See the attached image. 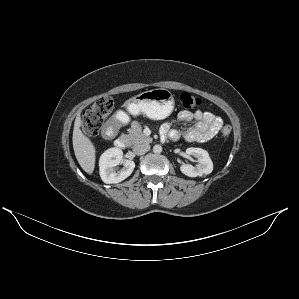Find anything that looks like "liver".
Listing matches in <instances>:
<instances>
[{
  "label": "liver",
  "mask_w": 299,
  "mask_h": 299,
  "mask_svg": "<svg viewBox=\"0 0 299 299\" xmlns=\"http://www.w3.org/2000/svg\"><path fill=\"white\" fill-rule=\"evenodd\" d=\"M82 124L80 114L77 115L73 129V149L76 159L82 169L88 174H92L95 167V147L80 130Z\"/></svg>",
  "instance_id": "6515ba94"
}]
</instances>
